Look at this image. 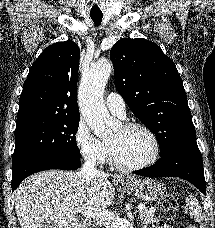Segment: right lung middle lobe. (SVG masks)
<instances>
[{
  "label": "right lung middle lobe",
  "mask_w": 215,
  "mask_h": 228,
  "mask_svg": "<svg viewBox=\"0 0 215 228\" xmlns=\"http://www.w3.org/2000/svg\"><path fill=\"white\" fill-rule=\"evenodd\" d=\"M79 117L34 120L16 125L12 164L45 154L80 158L75 134Z\"/></svg>",
  "instance_id": "obj_1"
}]
</instances>
